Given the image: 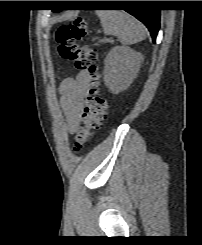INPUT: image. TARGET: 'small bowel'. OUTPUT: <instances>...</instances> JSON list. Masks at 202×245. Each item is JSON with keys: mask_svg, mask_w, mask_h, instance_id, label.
Listing matches in <instances>:
<instances>
[{"mask_svg": "<svg viewBox=\"0 0 202 245\" xmlns=\"http://www.w3.org/2000/svg\"><path fill=\"white\" fill-rule=\"evenodd\" d=\"M89 85L90 78L86 71H81L76 78L68 77L61 82V101L70 113L80 110L88 94ZM67 127L71 133H74L78 127V121L69 119Z\"/></svg>", "mask_w": 202, "mask_h": 245, "instance_id": "c3829d8e", "label": "small bowel"}]
</instances>
